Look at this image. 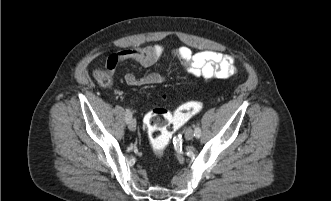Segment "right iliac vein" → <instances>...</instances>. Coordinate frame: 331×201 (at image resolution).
Returning <instances> with one entry per match:
<instances>
[{"mask_svg":"<svg viewBox=\"0 0 331 201\" xmlns=\"http://www.w3.org/2000/svg\"><path fill=\"white\" fill-rule=\"evenodd\" d=\"M128 127L131 131H135L137 127L136 120L131 118V120L128 123Z\"/></svg>","mask_w":331,"mask_h":201,"instance_id":"right-iliac-vein-1","label":"right iliac vein"}]
</instances>
